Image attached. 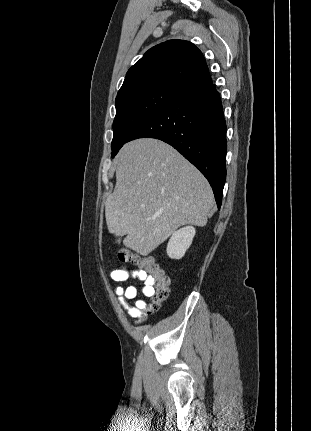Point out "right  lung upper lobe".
Segmentation results:
<instances>
[{
    "label": "right lung upper lobe",
    "instance_id": "1",
    "mask_svg": "<svg viewBox=\"0 0 311 431\" xmlns=\"http://www.w3.org/2000/svg\"><path fill=\"white\" fill-rule=\"evenodd\" d=\"M211 83L201 51L188 41L169 40L149 49L128 70L118 95L155 88L181 96Z\"/></svg>",
    "mask_w": 311,
    "mask_h": 431
}]
</instances>
